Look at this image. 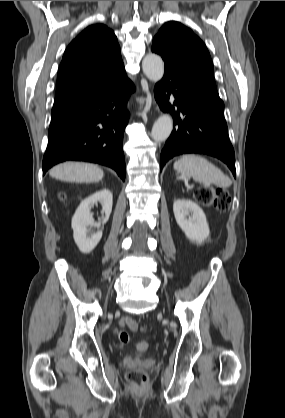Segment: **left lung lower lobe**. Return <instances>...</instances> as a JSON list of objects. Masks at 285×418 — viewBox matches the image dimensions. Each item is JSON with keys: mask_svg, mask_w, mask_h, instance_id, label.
<instances>
[{"mask_svg": "<svg viewBox=\"0 0 285 418\" xmlns=\"http://www.w3.org/2000/svg\"><path fill=\"white\" fill-rule=\"evenodd\" d=\"M152 52L161 55L165 64L164 77L154 89L155 99L163 112L175 114L173 131L161 152L160 169L174 156L199 153L222 160L235 177L234 149L217 89L164 56L158 46L152 45Z\"/></svg>", "mask_w": 285, "mask_h": 418, "instance_id": "left-lung-lower-lobe-1", "label": "left lung lower lobe"}]
</instances>
